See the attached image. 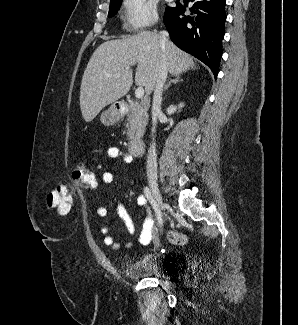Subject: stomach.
I'll list each match as a JSON object with an SVG mask.
<instances>
[{"mask_svg": "<svg viewBox=\"0 0 298 325\" xmlns=\"http://www.w3.org/2000/svg\"><path fill=\"white\" fill-rule=\"evenodd\" d=\"M120 118V112L118 108H116L115 104L100 114V120L102 124H105V126H111V124H115V122H118Z\"/></svg>", "mask_w": 298, "mask_h": 325, "instance_id": "stomach-1", "label": "stomach"}]
</instances>
